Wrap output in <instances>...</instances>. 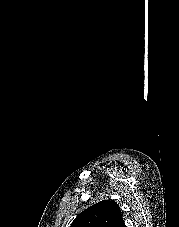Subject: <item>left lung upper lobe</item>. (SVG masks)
Returning <instances> with one entry per match:
<instances>
[{
  "label": "left lung upper lobe",
  "instance_id": "left-lung-upper-lobe-1",
  "mask_svg": "<svg viewBox=\"0 0 179 227\" xmlns=\"http://www.w3.org/2000/svg\"><path fill=\"white\" fill-rule=\"evenodd\" d=\"M71 227H126L119 206L110 200L100 201L82 211Z\"/></svg>",
  "mask_w": 179,
  "mask_h": 227
}]
</instances>
